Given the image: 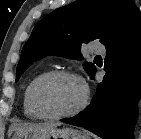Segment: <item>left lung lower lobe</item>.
Instances as JSON below:
<instances>
[{"mask_svg":"<svg viewBox=\"0 0 141 139\" xmlns=\"http://www.w3.org/2000/svg\"><path fill=\"white\" fill-rule=\"evenodd\" d=\"M106 75L92 102L62 122L84 127L105 139H133L137 103L141 97V20L105 44ZM96 72L92 73V77Z\"/></svg>","mask_w":141,"mask_h":139,"instance_id":"obj_1","label":"left lung lower lobe"}]
</instances>
